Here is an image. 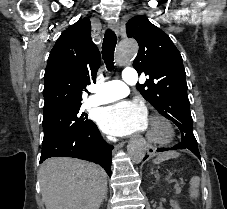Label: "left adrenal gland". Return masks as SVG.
Masks as SVG:
<instances>
[{"mask_svg":"<svg viewBox=\"0 0 227 209\" xmlns=\"http://www.w3.org/2000/svg\"><path fill=\"white\" fill-rule=\"evenodd\" d=\"M155 179H156V181H159V179H160V175H158V171H156Z\"/></svg>","mask_w":227,"mask_h":209,"instance_id":"obj_1","label":"left adrenal gland"}]
</instances>
